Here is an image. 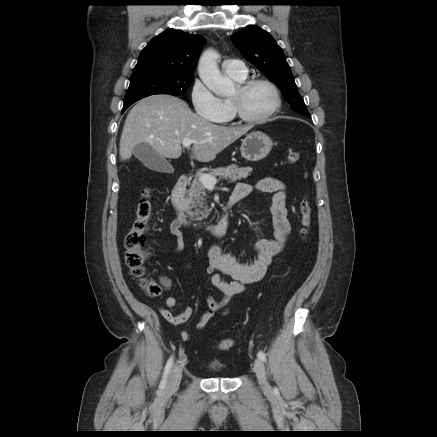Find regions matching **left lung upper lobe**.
Here are the masks:
<instances>
[{
  "label": "left lung upper lobe",
  "instance_id": "obj_1",
  "mask_svg": "<svg viewBox=\"0 0 437 437\" xmlns=\"http://www.w3.org/2000/svg\"><path fill=\"white\" fill-rule=\"evenodd\" d=\"M231 40L247 60L278 85L291 108L310 117L284 53L268 32L258 27H248L233 34Z\"/></svg>",
  "mask_w": 437,
  "mask_h": 437
}]
</instances>
